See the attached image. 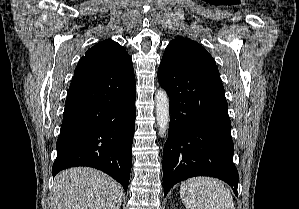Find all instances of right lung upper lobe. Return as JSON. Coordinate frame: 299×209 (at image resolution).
I'll use <instances>...</instances> for the list:
<instances>
[{
  "instance_id": "1",
  "label": "right lung upper lobe",
  "mask_w": 299,
  "mask_h": 209,
  "mask_svg": "<svg viewBox=\"0 0 299 209\" xmlns=\"http://www.w3.org/2000/svg\"><path fill=\"white\" fill-rule=\"evenodd\" d=\"M112 71L123 78L134 75L132 60L119 43L105 40L90 48L77 64L74 75Z\"/></svg>"
}]
</instances>
